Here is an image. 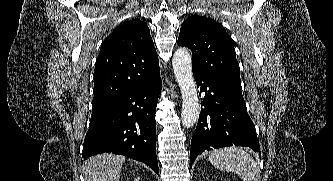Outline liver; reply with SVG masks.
<instances>
[{"label":"liver","instance_id":"6515ba94","mask_svg":"<svg viewBox=\"0 0 333 181\" xmlns=\"http://www.w3.org/2000/svg\"><path fill=\"white\" fill-rule=\"evenodd\" d=\"M124 156L98 154L90 157L83 165L85 181H119Z\"/></svg>","mask_w":333,"mask_h":181}]
</instances>
